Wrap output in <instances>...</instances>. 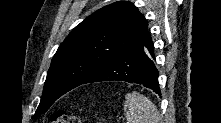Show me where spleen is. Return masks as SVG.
Returning a JSON list of instances; mask_svg holds the SVG:
<instances>
[{
    "label": "spleen",
    "instance_id": "3e777b00",
    "mask_svg": "<svg viewBox=\"0 0 221 123\" xmlns=\"http://www.w3.org/2000/svg\"><path fill=\"white\" fill-rule=\"evenodd\" d=\"M124 115L127 123H159L156 106L136 91L125 95Z\"/></svg>",
    "mask_w": 221,
    "mask_h": 123
}]
</instances>
